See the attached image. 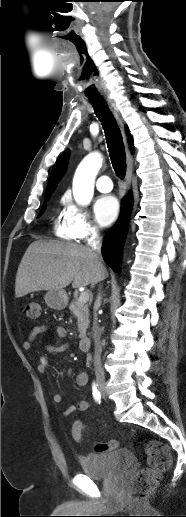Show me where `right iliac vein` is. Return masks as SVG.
Here are the masks:
<instances>
[{
	"label": "right iliac vein",
	"mask_w": 186,
	"mask_h": 517,
	"mask_svg": "<svg viewBox=\"0 0 186 517\" xmlns=\"http://www.w3.org/2000/svg\"><path fill=\"white\" fill-rule=\"evenodd\" d=\"M100 390H101V392H102V394H103V395H105V394H106V391H105V389H104V388H102V387H101V388H100Z\"/></svg>",
	"instance_id": "obj_1"
}]
</instances>
